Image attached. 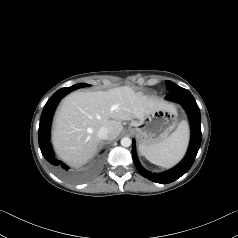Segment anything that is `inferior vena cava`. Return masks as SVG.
Listing matches in <instances>:
<instances>
[{
    "mask_svg": "<svg viewBox=\"0 0 238 238\" xmlns=\"http://www.w3.org/2000/svg\"><path fill=\"white\" fill-rule=\"evenodd\" d=\"M108 133H109L108 128L101 127L97 132V136L99 139L105 140L108 138Z\"/></svg>",
    "mask_w": 238,
    "mask_h": 238,
    "instance_id": "602c4592",
    "label": "inferior vena cava"
}]
</instances>
